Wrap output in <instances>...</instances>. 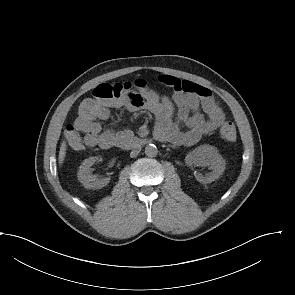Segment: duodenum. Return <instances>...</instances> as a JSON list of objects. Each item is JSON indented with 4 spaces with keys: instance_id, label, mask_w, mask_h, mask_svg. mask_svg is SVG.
Here are the masks:
<instances>
[{
    "instance_id": "obj_1",
    "label": "duodenum",
    "mask_w": 295,
    "mask_h": 295,
    "mask_svg": "<svg viewBox=\"0 0 295 295\" xmlns=\"http://www.w3.org/2000/svg\"><path fill=\"white\" fill-rule=\"evenodd\" d=\"M156 139L158 141L166 142V139L162 137H156ZM148 143H149V140L146 138H140V137L133 136L129 133H123L116 139L114 146H118L121 148H135V147L145 146Z\"/></svg>"
}]
</instances>
